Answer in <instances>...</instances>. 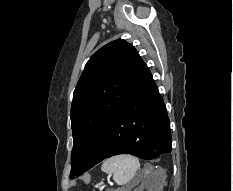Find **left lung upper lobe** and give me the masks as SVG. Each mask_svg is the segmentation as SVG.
<instances>
[{
    "mask_svg": "<svg viewBox=\"0 0 233 191\" xmlns=\"http://www.w3.org/2000/svg\"><path fill=\"white\" fill-rule=\"evenodd\" d=\"M145 68L137 50L122 39L103 46L89 59L71 106L70 178L84 169Z\"/></svg>",
    "mask_w": 233,
    "mask_h": 191,
    "instance_id": "obj_1",
    "label": "left lung upper lobe"
}]
</instances>
